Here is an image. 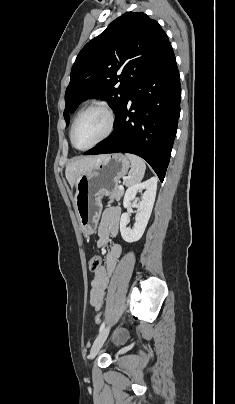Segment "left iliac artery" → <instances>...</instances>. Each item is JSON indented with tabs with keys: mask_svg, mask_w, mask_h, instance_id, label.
Wrapping results in <instances>:
<instances>
[{
	"mask_svg": "<svg viewBox=\"0 0 235 404\" xmlns=\"http://www.w3.org/2000/svg\"><path fill=\"white\" fill-rule=\"evenodd\" d=\"M105 328V321L101 324L99 332H101Z\"/></svg>",
	"mask_w": 235,
	"mask_h": 404,
	"instance_id": "1",
	"label": "left iliac artery"
}]
</instances>
